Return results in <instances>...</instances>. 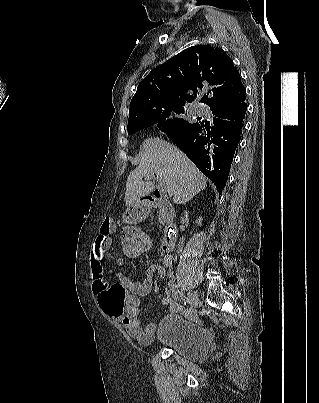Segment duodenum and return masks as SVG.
<instances>
[{
    "label": "duodenum",
    "instance_id": "410a0bca",
    "mask_svg": "<svg viewBox=\"0 0 319 403\" xmlns=\"http://www.w3.org/2000/svg\"><path fill=\"white\" fill-rule=\"evenodd\" d=\"M159 208L164 218V235L161 242L162 249L171 251L175 247L178 228L175 224V211L160 190H156L150 196L144 197L137 206L136 212L139 217L146 216L152 209Z\"/></svg>",
    "mask_w": 319,
    "mask_h": 403
}]
</instances>
